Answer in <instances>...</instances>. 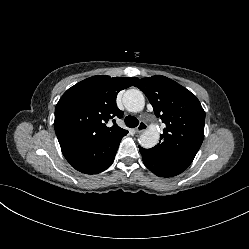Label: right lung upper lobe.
Masks as SVG:
<instances>
[{"label": "right lung upper lobe", "instance_id": "cb5924a9", "mask_svg": "<svg viewBox=\"0 0 249 249\" xmlns=\"http://www.w3.org/2000/svg\"><path fill=\"white\" fill-rule=\"evenodd\" d=\"M138 80L136 77L93 76L69 88L55 108L54 128L61 148L95 146L128 133L109 120L121 118L116 106L119 91Z\"/></svg>", "mask_w": 249, "mask_h": 249}]
</instances>
